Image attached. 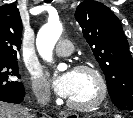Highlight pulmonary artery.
Wrapping results in <instances>:
<instances>
[{"mask_svg": "<svg viewBox=\"0 0 133 118\" xmlns=\"http://www.w3.org/2000/svg\"><path fill=\"white\" fill-rule=\"evenodd\" d=\"M73 51V44L69 40H60L57 44L55 54L58 57L69 56Z\"/></svg>", "mask_w": 133, "mask_h": 118, "instance_id": "pulmonary-artery-1", "label": "pulmonary artery"}]
</instances>
